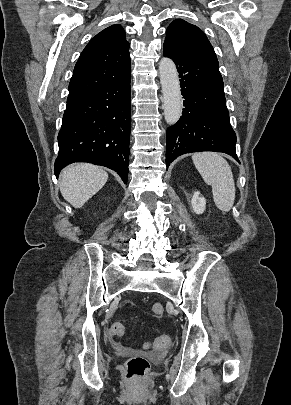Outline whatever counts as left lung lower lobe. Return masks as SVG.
Instances as JSON below:
<instances>
[{"label":"left lung lower lobe","mask_w":291,"mask_h":405,"mask_svg":"<svg viewBox=\"0 0 291 405\" xmlns=\"http://www.w3.org/2000/svg\"><path fill=\"white\" fill-rule=\"evenodd\" d=\"M164 56L179 72L185 107L179 121L166 132V167L190 152H223L239 162L217 59L182 51L164 43Z\"/></svg>","instance_id":"left-lung-lower-lobe-1"}]
</instances>
